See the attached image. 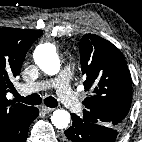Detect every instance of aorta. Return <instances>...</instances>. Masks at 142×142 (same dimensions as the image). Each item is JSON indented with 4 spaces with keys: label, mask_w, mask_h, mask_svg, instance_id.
Here are the masks:
<instances>
[{
    "label": "aorta",
    "mask_w": 142,
    "mask_h": 142,
    "mask_svg": "<svg viewBox=\"0 0 142 142\" xmlns=\"http://www.w3.org/2000/svg\"><path fill=\"white\" fill-rule=\"evenodd\" d=\"M34 60L39 68L48 75H56L61 67L56 48L51 43H44L36 47ZM54 127L64 129L70 123V113L63 109L55 110L51 116Z\"/></svg>",
    "instance_id": "obj_1"
}]
</instances>
